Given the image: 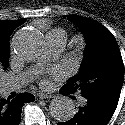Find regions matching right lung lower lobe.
<instances>
[{
    "mask_svg": "<svg viewBox=\"0 0 125 125\" xmlns=\"http://www.w3.org/2000/svg\"><path fill=\"white\" fill-rule=\"evenodd\" d=\"M35 101L34 95L20 93L15 98L3 99L0 97V125H19L22 106Z\"/></svg>",
    "mask_w": 125,
    "mask_h": 125,
    "instance_id": "right-lung-lower-lobe-1",
    "label": "right lung lower lobe"
}]
</instances>
